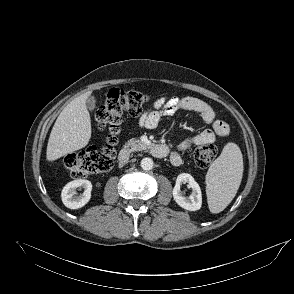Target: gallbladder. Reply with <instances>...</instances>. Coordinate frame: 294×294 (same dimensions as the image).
<instances>
[{"instance_id":"obj_1","label":"gallbladder","mask_w":294,"mask_h":294,"mask_svg":"<svg viewBox=\"0 0 294 294\" xmlns=\"http://www.w3.org/2000/svg\"><path fill=\"white\" fill-rule=\"evenodd\" d=\"M96 102V98L94 96H90L86 102L88 109L94 110L96 107Z\"/></svg>"}]
</instances>
